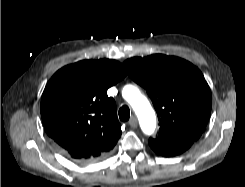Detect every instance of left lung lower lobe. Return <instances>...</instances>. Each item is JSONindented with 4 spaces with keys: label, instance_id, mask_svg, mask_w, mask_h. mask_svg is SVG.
Instances as JSON below:
<instances>
[{
    "label": "left lung lower lobe",
    "instance_id": "1",
    "mask_svg": "<svg viewBox=\"0 0 245 187\" xmlns=\"http://www.w3.org/2000/svg\"><path fill=\"white\" fill-rule=\"evenodd\" d=\"M195 141L194 140H181V141H161L158 139L150 138V147L159 155L165 157H173L186 151Z\"/></svg>",
    "mask_w": 245,
    "mask_h": 187
}]
</instances>
